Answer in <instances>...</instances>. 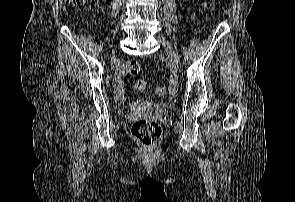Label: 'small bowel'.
<instances>
[{
  "label": "small bowel",
  "mask_w": 295,
  "mask_h": 202,
  "mask_svg": "<svg viewBox=\"0 0 295 202\" xmlns=\"http://www.w3.org/2000/svg\"><path fill=\"white\" fill-rule=\"evenodd\" d=\"M206 3L203 4V7H206ZM128 68L124 65L119 73V81H116V86H119V90H124L125 78ZM127 107H153V102H147V98H140V102H127Z\"/></svg>",
  "instance_id": "1"
}]
</instances>
